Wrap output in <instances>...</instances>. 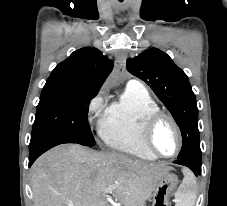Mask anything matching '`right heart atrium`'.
<instances>
[{"instance_id": "d8ad5b80", "label": "right heart atrium", "mask_w": 227, "mask_h": 206, "mask_svg": "<svg viewBox=\"0 0 227 206\" xmlns=\"http://www.w3.org/2000/svg\"><path fill=\"white\" fill-rule=\"evenodd\" d=\"M105 98L104 90L98 92L89 102L87 107V116L89 123H96L100 126L105 114Z\"/></svg>"}]
</instances>
